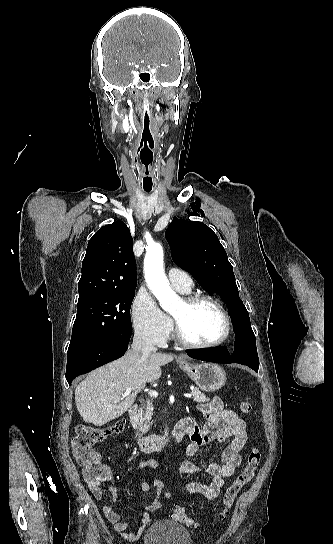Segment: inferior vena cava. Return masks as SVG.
Instances as JSON below:
<instances>
[{
	"label": "inferior vena cava",
	"instance_id": "1",
	"mask_svg": "<svg viewBox=\"0 0 333 544\" xmlns=\"http://www.w3.org/2000/svg\"><path fill=\"white\" fill-rule=\"evenodd\" d=\"M132 349L140 353L143 357L148 356L155 350L154 341L150 333L147 331H135Z\"/></svg>",
	"mask_w": 333,
	"mask_h": 544
}]
</instances>
